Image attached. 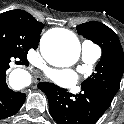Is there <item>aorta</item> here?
<instances>
[{
  "instance_id": "762f6f07",
  "label": "aorta",
  "mask_w": 124,
  "mask_h": 124,
  "mask_svg": "<svg viewBox=\"0 0 124 124\" xmlns=\"http://www.w3.org/2000/svg\"><path fill=\"white\" fill-rule=\"evenodd\" d=\"M40 51L45 60L57 67L73 65L80 55V42L72 32L65 29H51L40 40ZM18 75L24 84L25 72L15 70L11 76Z\"/></svg>"
}]
</instances>
